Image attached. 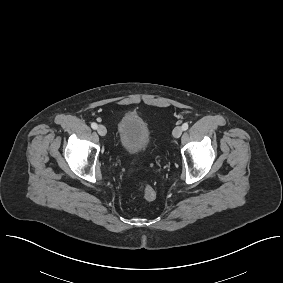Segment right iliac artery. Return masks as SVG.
Segmentation results:
<instances>
[{"label": "right iliac artery", "instance_id": "obj_1", "mask_svg": "<svg viewBox=\"0 0 283 283\" xmlns=\"http://www.w3.org/2000/svg\"><path fill=\"white\" fill-rule=\"evenodd\" d=\"M91 127L93 128V129H97V124L95 123V122H93V123H91Z\"/></svg>", "mask_w": 283, "mask_h": 283}]
</instances>
